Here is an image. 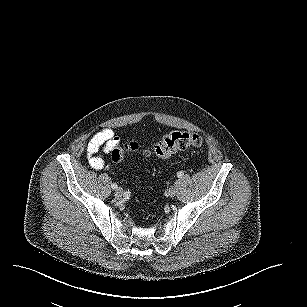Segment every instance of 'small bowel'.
<instances>
[{
	"mask_svg": "<svg viewBox=\"0 0 307 307\" xmlns=\"http://www.w3.org/2000/svg\"><path fill=\"white\" fill-rule=\"evenodd\" d=\"M120 143L119 138L110 128H105L97 132L87 144L86 156L89 165L95 170H101L105 167V161L100 154L109 153Z\"/></svg>",
	"mask_w": 307,
	"mask_h": 307,
	"instance_id": "c3829d8e",
	"label": "small bowel"
}]
</instances>
